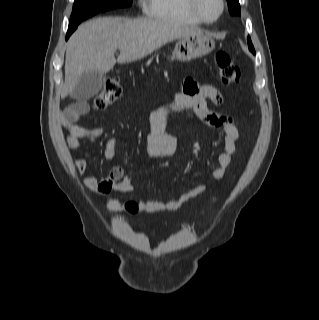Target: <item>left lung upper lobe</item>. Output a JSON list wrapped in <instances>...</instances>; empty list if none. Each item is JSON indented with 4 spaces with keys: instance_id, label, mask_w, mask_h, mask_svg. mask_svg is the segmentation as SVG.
I'll return each mask as SVG.
<instances>
[{
    "instance_id": "5c2ea615",
    "label": "left lung upper lobe",
    "mask_w": 319,
    "mask_h": 320,
    "mask_svg": "<svg viewBox=\"0 0 319 320\" xmlns=\"http://www.w3.org/2000/svg\"><path fill=\"white\" fill-rule=\"evenodd\" d=\"M228 1V8H229V12L231 15H241V11H240V4L238 0H227ZM248 40V46H249V50L255 54V50L254 47L252 45V42L250 40V37L247 38Z\"/></svg>"
}]
</instances>
